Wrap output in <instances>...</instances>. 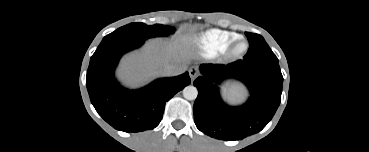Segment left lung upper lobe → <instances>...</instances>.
I'll list each match as a JSON object with an SVG mask.
<instances>
[{
	"label": "left lung upper lobe",
	"instance_id": "left-lung-upper-lobe-1",
	"mask_svg": "<svg viewBox=\"0 0 369 152\" xmlns=\"http://www.w3.org/2000/svg\"><path fill=\"white\" fill-rule=\"evenodd\" d=\"M249 41V50L243 59L250 61L270 60L278 61L275 54L269 48L264 38L258 34L246 32Z\"/></svg>",
	"mask_w": 369,
	"mask_h": 152
}]
</instances>
